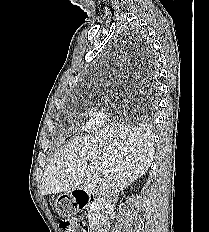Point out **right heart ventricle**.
<instances>
[{"mask_svg": "<svg viewBox=\"0 0 209 232\" xmlns=\"http://www.w3.org/2000/svg\"><path fill=\"white\" fill-rule=\"evenodd\" d=\"M75 128H76L77 130H80L81 126H80L79 121H76V122H75Z\"/></svg>", "mask_w": 209, "mask_h": 232, "instance_id": "right-heart-ventricle-1", "label": "right heart ventricle"}]
</instances>
